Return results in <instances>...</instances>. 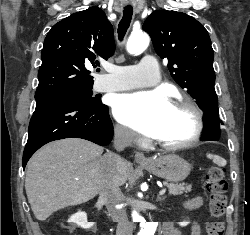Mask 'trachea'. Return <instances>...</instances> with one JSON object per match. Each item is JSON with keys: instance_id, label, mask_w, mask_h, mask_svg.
<instances>
[{"instance_id": "obj_1", "label": "trachea", "mask_w": 250, "mask_h": 235, "mask_svg": "<svg viewBox=\"0 0 250 235\" xmlns=\"http://www.w3.org/2000/svg\"><path fill=\"white\" fill-rule=\"evenodd\" d=\"M133 7L126 6L123 10V17L118 25V38L120 41L123 40L132 20ZM100 71V69H98Z\"/></svg>"}]
</instances>
